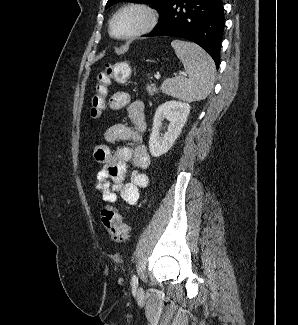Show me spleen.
I'll use <instances>...</instances> for the list:
<instances>
[{
	"label": "spleen",
	"mask_w": 298,
	"mask_h": 325,
	"mask_svg": "<svg viewBox=\"0 0 298 325\" xmlns=\"http://www.w3.org/2000/svg\"><path fill=\"white\" fill-rule=\"evenodd\" d=\"M173 46L181 64L188 76L165 78L160 88L164 94L194 102L204 100L210 94L215 80V64L213 58L195 44L187 40H172Z\"/></svg>",
	"instance_id": "obj_1"
}]
</instances>
